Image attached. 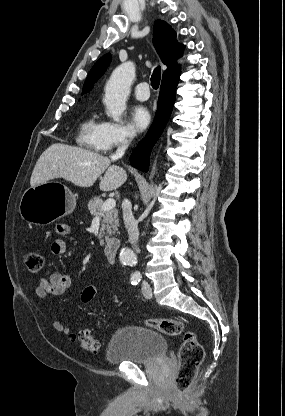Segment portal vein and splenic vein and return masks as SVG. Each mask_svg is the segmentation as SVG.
<instances>
[{
  "label": "portal vein and splenic vein",
  "mask_w": 285,
  "mask_h": 416,
  "mask_svg": "<svg viewBox=\"0 0 285 416\" xmlns=\"http://www.w3.org/2000/svg\"><path fill=\"white\" fill-rule=\"evenodd\" d=\"M115 206H116L115 200H113V198H108V200H106V202H104V204L102 206V210H103V212H109V210H113V208H115Z\"/></svg>",
  "instance_id": "obj_1"
}]
</instances>
